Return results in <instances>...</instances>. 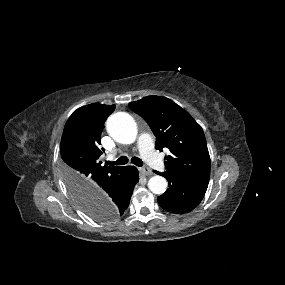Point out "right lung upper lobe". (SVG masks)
Returning a JSON list of instances; mask_svg holds the SVG:
<instances>
[{"mask_svg": "<svg viewBox=\"0 0 285 285\" xmlns=\"http://www.w3.org/2000/svg\"><path fill=\"white\" fill-rule=\"evenodd\" d=\"M114 109V105H86L77 109L65 124L60 144L63 175L82 203H90V197L126 169L101 165L100 156L105 151L99 148L101 133Z\"/></svg>", "mask_w": 285, "mask_h": 285, "instance_id": "cb5924a9", "label": "right lung upper lobe"}]
</instances>
